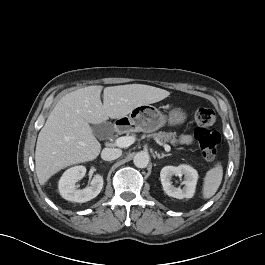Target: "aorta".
<instances>
[{"label": "aorta", "mask_w": 265, "mask_h": 265, "mask_svg": "<svg viewBox=\"0 0 265 265\" xmlns=\"http://www.w3.org/2000/svg\"><path fill=\"white\" fill-rule=\"evenodd\" d=\"M137 168H146L149 163V154L147 152H138L133 159Z\"/></svg>", "instance_id": "obj_1"}]
</instances>
